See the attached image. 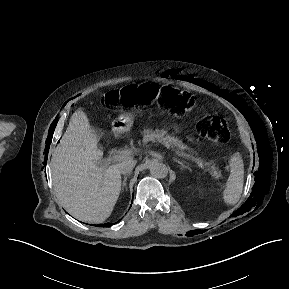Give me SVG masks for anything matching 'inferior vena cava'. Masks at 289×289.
<instances>
[{"label":"inferior vena cava","instance_id":"inferior-vena-cava-1","mask_svg":"<svg viewBox=\"0 0 289 289\" xmlns=\"http://www.w3.org/2000/svg\"><path fill=\"white\" fill-rule=\"evenodd\" d=\"M135 165H136V160H134L132 158H128V159L120 162L117 165V168L120 171V173L127 174V173H130L132 171V169L134 168Z\"/></svg>","mask_w":289,"mask_h":289}]
</instances>
